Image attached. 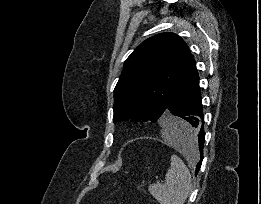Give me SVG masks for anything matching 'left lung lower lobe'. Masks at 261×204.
I'll list each match as a JSON object with an SVG mask.
<instances>
[{"label": "left lung lower lobe", "mask_w": 261, "mask_h": 204, "mask_svg": "<svg viewBox=\"0 0 261 204\" xmlns=\"http://www.w3.org/2000/svg\"><path fill=\"white\" fill-rule=\"evenodd\" d=\"M171 114L178 116L182 122L168 120L169 132L178 140L189 142L196 138L197 150L201 159L197 163L195 174L198 173L203 159L204 146V114L199 88V75L194 61L186 76L178 86L166 109V119ZM190 154H196L195 149L188 148Z\"/></svg>", "instance_id": "0a47b994"}]
</instances>
